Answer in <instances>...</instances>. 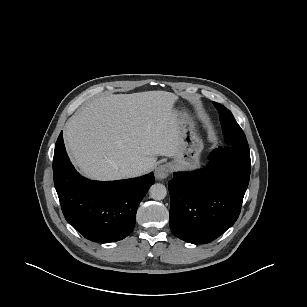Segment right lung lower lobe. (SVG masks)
Returning <instances> with one entry per match:
<instances>
[{"instance_id":"1","label":"right lung lower lobe","mask_w":307,"mask_h":307,"mask_svg":"<svg viewBox=\"0 0 307 307\" xmlns=\"http://www.w3.org/2000/svg\"><path fill=\"white\" fill-rule=\"evenodd\" d=\"M62 134L55 144L53 175L64 217L91 241L127 237L135 226L139 203L154 183L153 173L107 182L86 179L71 164Z\"/></svg>"}]
</instances>
